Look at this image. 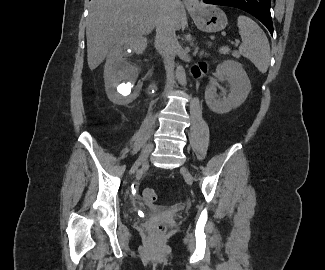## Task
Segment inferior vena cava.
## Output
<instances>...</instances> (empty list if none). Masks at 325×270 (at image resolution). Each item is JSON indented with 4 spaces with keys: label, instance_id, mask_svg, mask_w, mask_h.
I'll return each mask as SVG.
<instances>
[{
    "label": "inferior vena cava",
    "instance_id": "1",
    "mask_svg": "<svg viewBox=\"0 0 325 270\" xmlns=\"http://www.w3.org/2000/svg\"><path fill=\"white\" fill-rule=\"evenodd\" d=\"M179 0H161V13L156 25L155 42L164 58L166 70L165 93H170L174 87V58L173 50L178 46L173 20V6Z\"/></svg>",
    "mask_w": 325,
    "mask_h": 270
}]
</instances>
